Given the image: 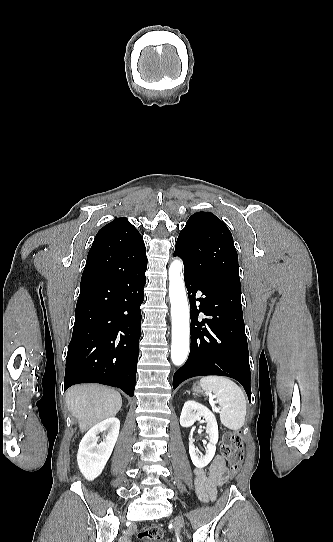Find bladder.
I'll return each mask as SVG.
<instances>
[{"label":"bladder","mask_w":333,"mask_h":542,"mask_svg":"<svg viewBox=\"0 0 333 542\" xmlns=\"http://www.w3.org/2000/svg\"><path fill=\"white\" fill-rule=\"evenodd\" d=\"M142 542H165L161 539H146V540H143Z\"/></svg>","instance_id":"1"}]
</instances>
